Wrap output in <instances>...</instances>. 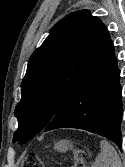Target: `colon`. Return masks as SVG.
<instances>
[{"mask_svg": "<svg viewBox=\"0 0 125 167\" xmlns=\"http://www.w3.org/2000/svg\"><path fill=\"white\" fill-rule=\"evenodd\" d=\"M22 167H45V165L36 154L30 153L23 159ZM72 167H86L84 162V154L82 151L77 150L75 152Z\"/></svg>", "mask_w": 125, "mask_h": 167, "instance_id": "5ec220e1", "label": "colon"}]
</instances>
